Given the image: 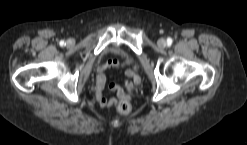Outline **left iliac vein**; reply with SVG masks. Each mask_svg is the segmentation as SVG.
<instances>
[{
  "mask_svg": "<svg viewBox=\"0 0 247 145\" xmlns=\"http://www.w3.org/2000/svg\"><path fill=\"white\" fill-rule=\"evenodd\" d=\"M166 45H167V42H166L165 39L161 38V39L158 40V46H159L160 48H165Z\"/></svg>",
  "mask_w": 247,
  "mask_h": 145,
  "instance_id": "left-iliac-vein-1",
  "label": "left iliac vein"
}]
</instances>
